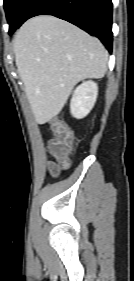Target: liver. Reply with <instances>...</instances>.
<instances>
[{"instance_id": "6515ba94", "label": "liver", "mask_w": 134, "mask_h": 281, "mask_svg": "<svg viewBox=\"0 0 134 281\" xmlns=\"http://www.w3.org/2000/svg\"><path fill=\"white\" fill-rule=\"evenodd\" d=\"M13 49L38 124L60 113L78 82L102 78L107 70L108 53L99 39L53 16L26 21L15 35Z\"/></svg>"}]
</instances>
